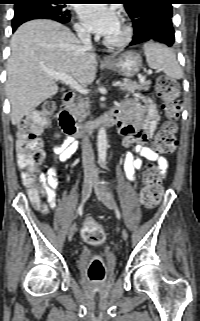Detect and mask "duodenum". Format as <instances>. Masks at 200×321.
<instances>
[{"label": "duodenum", "instance_id": "obj_1", "mask_svg": "<svg viewBox=\"0 0 200 321\" xmlns=\"http://www.w3.org/2000/svg\"><path fill=\"white\" fill-rule=\"evenodd\" d=\"M74 101V94L72 92H66L62 96V105L58 113V121L61 129L68 135H85L91 134L102 127L115 125L118 121L119 114L113 109L111 113L105 115L103 118L87 122L84 124H78L74 120L71 114V106Z\"/></svg>", "mask_w": 200, "mask_h": 321}]
</instances>
